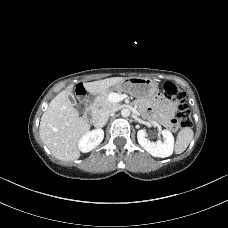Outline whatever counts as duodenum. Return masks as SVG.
Segmentation results:
<instances>
[{
	"instance_id": "obj_1",
	"label": "duodenum",
	"mask_w": 228,
	"mask_h": 228,
	"mask_svg": "<svg viewBox=\"0 0 228 228\" xmlns=\"http://www.w3.org/2000/svg\"><path fill=\"white\" fill-rule=\"evenodd\" d=\"M96 96H92L91 98H89V100L87 101V105H86V110H85V114L84 117L88 120L90 118V114H91V110L94 106V102H95Z\"/></svg>"
}]
</instances>
